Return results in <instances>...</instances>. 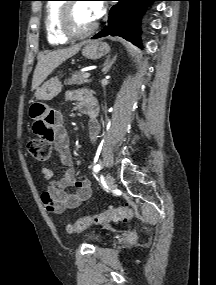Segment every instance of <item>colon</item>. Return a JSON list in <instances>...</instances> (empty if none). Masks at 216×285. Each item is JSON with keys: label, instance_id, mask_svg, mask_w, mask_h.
Instances as JSON below:
<instances>
[{"label": "colon", "instance_id": "colon-1", "mask_svg": "<svg viewBox=\"0 0 216 285\" xmlns=\"http://www.w3.org/2000/svg\"><path fill=\"white\" fill-rule=\"evenodd\" d=\"M42 136L32 137L27 144L31 156L39 161H46L51 156V145L49 141H42ZM133 209L125 204L104 212L78 218L66 229L68 233H80L91 225H101L109 222H130L133 219Z\"/></svg>", "mask_w": 216, "mask_h": 285}]
</instances>
